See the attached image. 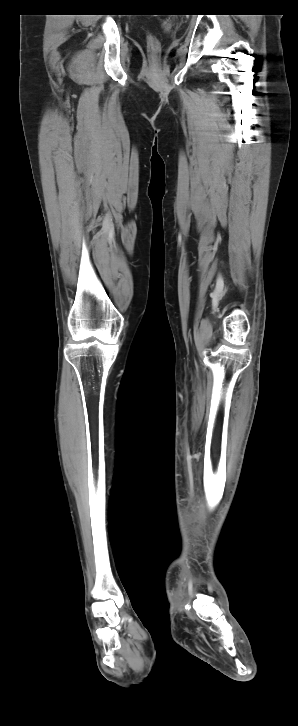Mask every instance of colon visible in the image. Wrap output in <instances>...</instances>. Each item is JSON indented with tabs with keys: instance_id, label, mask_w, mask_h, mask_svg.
<instances>
[{
	"instance_id": "1",
	"label": "colon",
	"mask_w": 298,
	"mask_h": 726,
	"mask_svg": "<svg viewBox=\"0 0 298 726\" xmlns=\"http://www.w3.org/2000/svg\"><path fill=\"white\" fill-rule=\"evenodd\" d=\"M147 42H148V48L151 51V53L155 54L159 51L160 44L156 37H154L152 35L148 36Z\"/></svg>"
}]
</instances>
